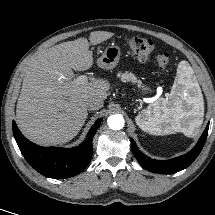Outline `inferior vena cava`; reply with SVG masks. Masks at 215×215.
I'll return each instance as SVG.
<instances>
[{"label":"inferior vena cava","mask_w":215,"mask_h":215,"mask_svg":"<svg viewBox=\"0 0 215 215\" xmlns=\"http://www.w3.org/2000/svg\"><path fill=\"white\" fill-rule=\"evenodd\" d=\"M88 110H98L103 106V100L97 97L87 99L85 103Z\"/></svg>","instance_id":"1"}]
</instances>
